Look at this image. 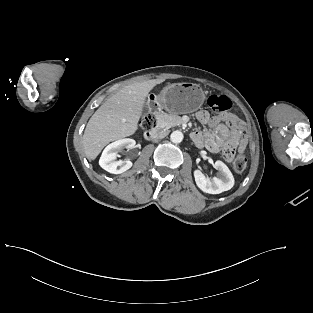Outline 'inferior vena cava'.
I'll return each mask as SVG.
<instances>
[{
  "instance_id": "1",
  "label": "inferior vena cava",
  "mask_w": 313,
  "mask_h": 313,
  "mask_svg": "<svg viewBox=\"0 0 313 313\" xmlns=\"http://www.w3.org/2000/svg\"><path fill=\"white\" fill-rule=\"evenodd\" d=\"M168 135V130L154 131L152 138L154 140L163 139Z\"/></svg>"
}]
</instances>
